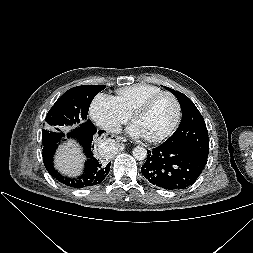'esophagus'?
<instances>
[{
	"label": "esophagus",
	"instance_id": "34e87169",
	"mask_svg": "<svg viewBox=\"0 0 253 253\" xmlns=\"http://www.w3.org/2000/svg\"><path fill=\"white\" fill-rule=\"evenodd\" d=\"M115 140H116L117 142H121V141H123V138L120 137V136H117V137L115 138Z\"/></svg>",
	"mask_w": 253,
	"mask_h": 253
}]
</instances>
